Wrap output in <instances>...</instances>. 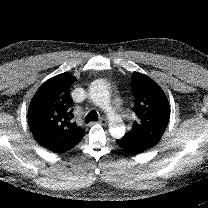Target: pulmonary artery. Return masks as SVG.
Instances as JSON below:
<instances>
[{
  "label": "pulmonary artery",
  "instance_id": "obj_1",
  "mask_svg": "<svg viewBox=\"0 0 208 208\" xmlns=\"http://www.w3.org/2000/svg\"><path fill=\"white\" fill-rule=\"evenodd\" d=\"M111 107L113 111L117 114L119 119H125L127 117L126 113L123 110V103L120 98H114L111 102Z\"/></svg>",
  "mask_w": 208,
  "mask_h": 208
}]
</instances>
